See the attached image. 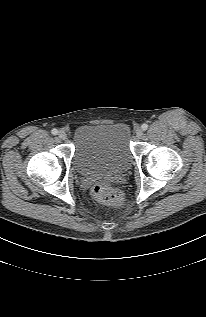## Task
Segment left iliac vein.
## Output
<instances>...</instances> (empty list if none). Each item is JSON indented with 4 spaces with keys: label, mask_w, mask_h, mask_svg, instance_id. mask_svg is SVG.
Here are the masks:
<instances>
[{
    "label": "left iliac vein",
    "mask_w": 206,
    "mask_h": 317,
    "mask_svg": "<svg viewBox=\"0 0 206 317\" xmlns=\"http://www.w3.org/2000/svg\"><path fill=\"white\" fill-rule=\"evenodd\" d=\"M142 135H143V129L142 128H137L136 129V136L140 138Z\"/></svg>",
    "instance_id": "obj_1"
}]
</instances>
